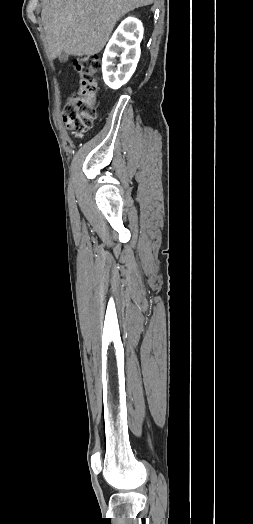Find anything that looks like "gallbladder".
I'll use <instances>...</instances> for the list:
<instances>
[{
  "instance_id": "gallbladder-1",
  "label": "gallbladder",
  "mask_w": 253,
  "mask_h": 524,
  "mask_svg": "<svg viewBox=\"0 0 253 524\" xmlns=\"http://www.w3.org/2000/svg\"><path fill=\"white\" fill-rule=\"evenodd\" d=\"M58 59L60 62L64 63L68 60V55L65 53V52H62L59 56H58Z\"/></svg>"
}]
</instances>
